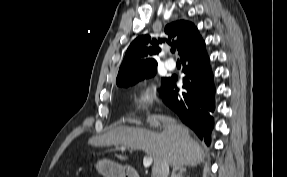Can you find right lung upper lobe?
I'll use <instances>...</instances> for the list:
<instances>
[{"mask_svg": "<svg viewBox=\"0 0 287 177\" xmlns=\"http://www.w3.org/2000/svg\"><path fill=\"white\" fill-rule=\"evenodd\" d=\"M198 33L193 23L180 20L165 27L163 38L158 40L149 35L138 36L128 47L120 66L116 83L133 81L157 70L158 54L161 51L159 43L167 42L175 45L179 55L188 42Z\"/></svg>", "mask_w": 287, "mask_h": 177, "instance_id": "right-lung-upper-lobe-1", "label": "right lung upper lobe"}]
</instances>
